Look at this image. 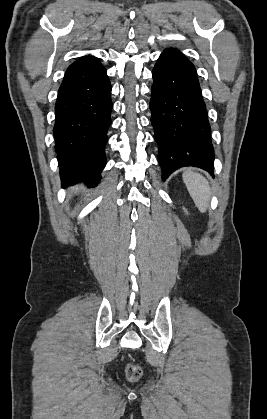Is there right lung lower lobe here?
Masks as SVG:
<instances>
[{
  "label": "right lung lower lobe",
  "mask_w": 267,
  "mask_h": 419,
  "mask_svg": "<svg viewBox=\"0 0 267 419\" xmlns=\"http://www.w3.org/2000/svg\"><path fill=\"white\" fill-rule=\"evenodd\" d=\"M111 85L100 61L71 64L58 91L53 129L63 186H94L105 167Z\"/></svg>",
  "instance_id": "obj_1"
}]
</instances>
